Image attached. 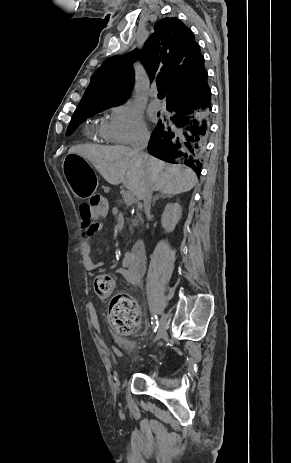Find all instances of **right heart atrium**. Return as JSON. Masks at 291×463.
<instances>
[{
  "label": "right heart atrium",
  "mask_w": 291,
  "mask_h": 463,
  "mask_svg": "<svg viewBox=\"0 0 291 463\" xmlns=\"http://www.w3.org/2000/svg\"><path fill=\"white\" fill-rule=\"evenodd\" d=\"M104 137L108 141L123 145L146 141L148 130L141 112L131 102L113 107L104 125Z\"/></svg>",
  "instance_id": "1"
}]
</instances>
